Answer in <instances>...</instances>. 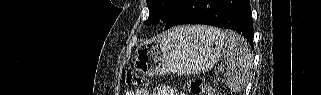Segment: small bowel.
<instances>
[{
    "mask_svg": "<svg viewBox=\"0 0 321 95\" xmlns=\"http://www.w3.org/2000/svg\"><path fill=\"white\" fill-rule=\"evenodd\" d=\"M149 94H150L149 92L143 89H137L135 91V95H149ZM154 95H185V94L183 92H179L177 89L171 86L161 85L156 88V92L154 93Z\"/></svg>",
    "mask_w": 321,
    "mask_h": 95,
    "instance_id": "1",
    "label": "small bowel"
}]
</instances>
